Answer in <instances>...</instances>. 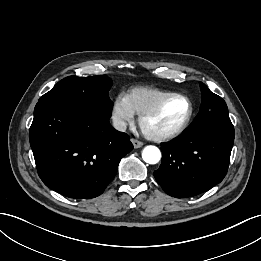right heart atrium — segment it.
<instances>
[{
    "label": "right heart atrium",
    "mask_w": 261,
    "mask_h": 261,
    "mask_svg": "<svg viewBox=\"0 0 261 261\" xmlns=\"http://www.w3.org/2000/svg\"><path fill=\"white\" fill-rule=\"evenodd\" d=\"M135 112L133 111L126 95L118 94L112 103L111 118L116 129L124 130L133 122Z\"/></svg>",
    "instance_id": "right-heart-atrium-1"
}]
</instances>
